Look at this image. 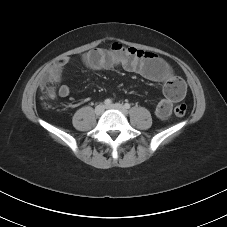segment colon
Instances as JSON below:
<instances>
[{
    "label": "colon",
    "instance_id": "obj_1",
    "mask_svg": "<svg viewBox=\"0 0 227 227\" xmlns=\"http://www.w3.org/2000/svg\"><path fill=\"white\" fill-rule=\"evenodd\" d=\"M40 87L42 92L45 93L47 97L49 98L54 97L55 91L53 88V82L50 79H48L47 77H44ZM186 111H187V107L185 104H179L174 108V114L179 118L184 117L186 114Z\"/></svg>",
    "mask_w": 227,
    "mask_h": 227
}]
</instances>
